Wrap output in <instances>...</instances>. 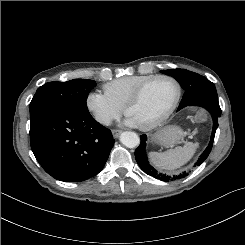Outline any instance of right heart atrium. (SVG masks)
Listing matches in <instances>:
<instances>
[{
  "mask_svg": "<svg viewBox=\"0 0 245 245\" xmlns=\"http://www.w3.org/2000/svg\"><path fill=\"white\" fill-rule=\"evenodd\" d=\"M85 108L93 119L102 126H109L122 114V107L105 93L91 91L85 97Z\"/></svg>",
  "mask_w": 245,
  "mask_h": 245,
  "instance_id": "d8ad5b80",
  "label": "right heart atrium"
}]
</instances>
